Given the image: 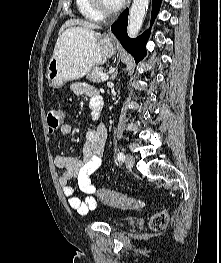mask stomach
<instances>
[{
  "label": "stomach",
  "instance_id": "obj_1",
  "mask_svg": "<svg viewBox=\"0 0 221 263\" xmlns=\"http://www.w3.org/2000/svg\"><path fill=\"white\" fill-rule=\"evenodd\" d=\"M115 51L114 39L108 34L80 28L65 30L59 36L47 66L49 86L61 87L83 77L93 67L105 63Z\"/></svg>",
  "mask_w": 221,
  "mask_h": 263
}]
</instances>
